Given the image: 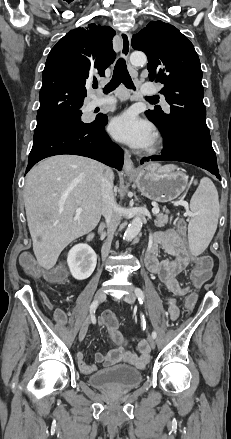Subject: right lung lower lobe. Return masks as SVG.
Returning a JSON list of instances; mask_svg holds the SVG:
<instances>
[{
  "label": "right lung lower lobe",
  "instance_id": "obj_1",
  "mask_svg": "<svg viewBox=\"0 0 231 439\" xmlns=\"http://www.w3.org/2000/svg\"><path fill=\"white\" fill-rule=\"evenodd\" d=\"M107 121L106 116H101L86 127L60 125L36 132L26 172L38 161L60 154L89 157L121 170L123 151L106 134Z\"/></svg>",
  "mask_w": 231,
  "mask_h": 439
}]
</instances>
